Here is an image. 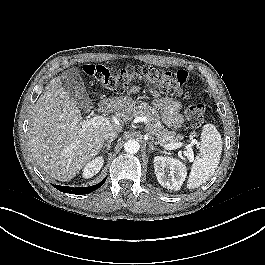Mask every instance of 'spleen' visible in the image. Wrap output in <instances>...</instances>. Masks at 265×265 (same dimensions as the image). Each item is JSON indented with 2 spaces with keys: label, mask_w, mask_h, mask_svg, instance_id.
<instances>
[{
  "label": "spleen",
  "mask_w": 265,
  "mask_h": 265,
  "mask_svg": "<svg viewBox=\"0 0 265 265\" xmlns=\"http://www.w3.org/2000/svg\"><path fill=\"white\" fill-rule=\"evenodd\" d=\"M222 139L216 127L206 124L202 128L199 153L193 161L187 188L195 189L206 183L219 165Z\"/></svg>",
  "instance_id": "3e777b00"
}]
</instances>
